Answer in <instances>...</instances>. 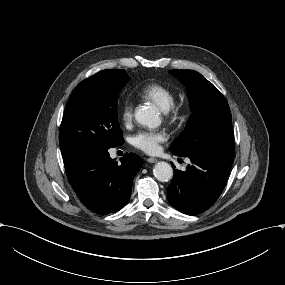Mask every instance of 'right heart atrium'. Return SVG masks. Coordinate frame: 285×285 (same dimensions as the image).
Here are the masks:
<instances>
[{
  "label": "right heart atrium",
  "instance_id": "d8ad5b80",
  "mask_svg": "<svg viewBox=\"0 0 285 285\" xmlns=\"http://www.w3.org/2000/svg\"><path fill=\"white\" fill-rule=\"evenodd\" d=\"M135 106L136 102L131 96L123 98L120 105V114L125 123H129L132 120Z\"/></svg>",
  "mask_w": 285,
  "mask_h": 285
}]
</instances>
